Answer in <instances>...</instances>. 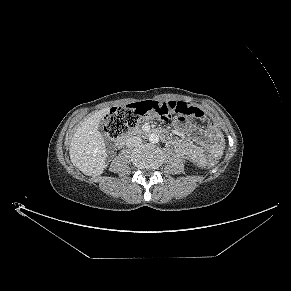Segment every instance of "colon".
<instances>
[{
	"label": "colon",
	"mask_w": 291,
	"mask_h": 291,
	"mask_svg": "<svg viewBox=\"0 0 291 291\" xmlns=\"http://www.w3.org/2000/svg\"><path fill=\"white\" fill-rule=\"evenodd\" d=\"M174 115L204 117L202 110L188 102L145 101L112 108L104 118V131L110 138H118L136 127L142 120L155 117L167 119ZM217 163V159L211 158L207 166L213 168Z\"/></svg>",
	"instance_id": "1"
}]
</instances>
